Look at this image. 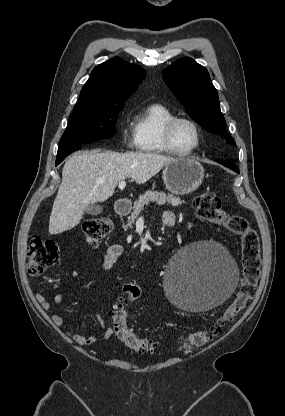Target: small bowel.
<instances>
[{
    "label": "small bowel",
    "mask_w": 285,
    "mask_h": 416,
    "mask_svg": "<svg viewBox=\"0 0 285 416\" xmlns=\"http://www.w3.org/2000/svg\"><path fill=\"white\" fill-rule=\"evenodd\" d=\"M162 220L163 223L167 226H171L174 224L175 222V215L173 212L171 211H166L164 212L163 216H162ZM122 246L119 244H112L108 247L107 252L104 256V261L102 264L101 269L103 270H109L113 267V265L116 263L117 259L120 257V255L122 254ZM36 299L39 302V304L44 308V310H46L49 314H50V318L52 320V322L57 326V327H64V321L63 318L57 314L54 313L50 307V303L47 301V299L44 297V295L42 294H37L36 295ZM64 296L62 293H56L53 296V301L56 304H59L63 301ZM98 323L99 326L102 329V335L101 338L102 340H108L110 339L113 334H114V330L112 327L110 326H106L104 319L98 315ZM68 335L79 345H92L94 343L97 342V337L95 336H83L79 333H75V332H68Z\"/></svg>",
    "instance_id": "small-bowel-1"
}]
</instances>
